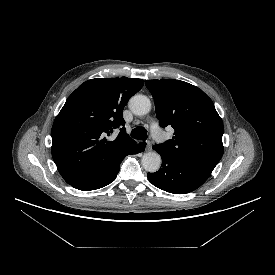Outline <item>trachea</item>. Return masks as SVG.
<instances>
[{"label":"trachea","mask_w":275,"mask_h":275,"mask_svg":"<svg viewBox=\"0 0 275 275\" xmlns=\"http://www.w3.org/2000/svg\"><path fill=\"white\" fill-rule=\"evenodd\" d=\"M131 137L137 140H146L147 139V130L144 127H136L131 132Z\"/></svg>","instance_id":"3493384b"}]
</instances>
